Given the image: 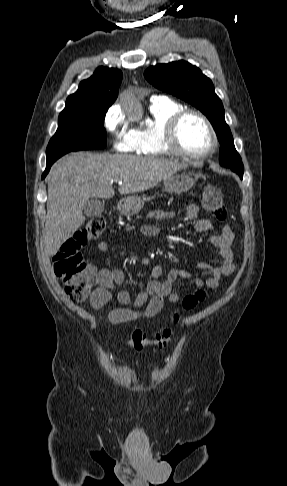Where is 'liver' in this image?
I'll return each instance as SVG.
<instances>
[{"instance_id":"1","label":"liver","mask_w":287,"mask_h":486,"mask_svg":"<svg viewBox=\"0 0 287 486\" xmlns=\"http://www.w3.org/2000/svg\"><path fill=\"white\" fill-rule=\"evenodd\" d=\"M188 165L176 160L122 154L73 153L62 157L48 176L45 252L55 255L85 222L89 198L114 196V181L122 180L120 194L150 189Z\"/></svg>"}]
</instances>
